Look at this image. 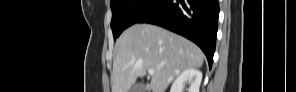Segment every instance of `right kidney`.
I'll list each match as a JSON object with an SVG mask.
<instances>
[{
  "instance_id": "ca27d5eb",
  "label": "right kidney",
  "mask_w": 296,
  "mask_h": 92,
  "mask_svg": "<svg viewBox=\"0 0 296 92\" xmlns=\"http://www.w3.org/2000/svg\"><path fill=\"white\" fill-rule=\"evenodd\" d=\"M202 81V73L195 68H188L180 73L173 82L170 92H183L184 83H189L188 92H199Z\"/></svg>"
}]
</instances>
